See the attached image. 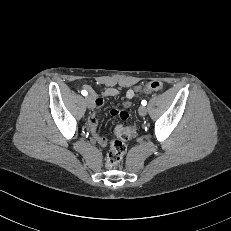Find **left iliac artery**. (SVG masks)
Listing matches in <instances>:
<instances>
[{"label":"left iliac artery","mask_w":231,"mask_h":231,"mask_svg":"<svg viewBox=\"0 0 231 231\" xmlns=\"http://www.w3.org/2000/svg\"><path fill=\"white\" fill-rule=\"evenodd\" d=\"M141 104H142L143 106H145V105L147 104V101H146V100H142Z\"/></svg>","instance_id":"44dca946"}]
</instances>
